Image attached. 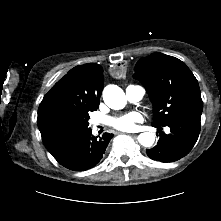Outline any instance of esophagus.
<instances>
[{
	"instance_id": "esophagus-1",
	"label": "esophagus",
	"mask_w": 221,
	"mask_h": 221,
	"mask_svg": "<svg viewBox=\"0 0 221 221\" xmlns=\"http://www.w3.org/2000/svg\"><path fill=\"white\" fill-rule=\"evenodd\" d=\"M118 134H119V135H125V136H126V135L135 136V134L129 133V132H126V131H125V132L119 131Z\"/></svg>"
}]
</instances>
